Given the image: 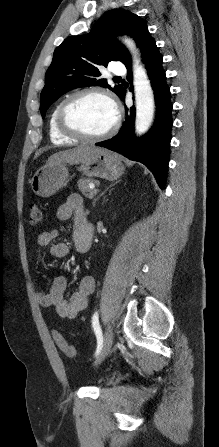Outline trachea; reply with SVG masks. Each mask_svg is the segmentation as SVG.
Masks as SVG:
<instances>
[{
    "instance_id": "3493384b",
    "label": "trachea",
    "mask_w": 219,
    "mask_h": 447,
    "mask_svg": "<svg viewBox=\"0 0 219 447\" xmlns=\"http://www.w3.org/2000/svg\"><path fill=\"white\" fill-rule=\"evenodd\" d=\"M114 79H121L120 77H115Z\"/></svg>"
}]
</instances>
